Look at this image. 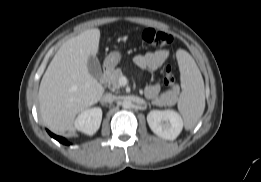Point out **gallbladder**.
I'll return each instance as SVG.
<instances>
[{
	"instance_id": "gallbladder-1",
	"label": "gallbladder",
	"mask_w": 261,
	"mask_h": 182,
	"mask_svg": "<svg viewBox=\"0 0 261 182\" xmlns=\"http://www.w3.org/2000/svg\"><path fill=\"white\" fill-rule=\"evenodd\" d=\"M88 71L95 79H100L102 75L101 66L99 60L95 56H90L88 58Z\"/></svg>"
}]
</instances>
